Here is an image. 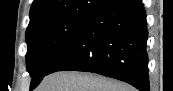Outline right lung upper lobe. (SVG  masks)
Listing matches in <instances>:
<instances>
[{"label": "right lung upper lobe", "mask_w": 173, "mask_h": 91, "mask_svg": "<svg viewBox=\"0 0 173 91\" xmlns=\"http://www.w3.org/2000/svg\"><path fill=\"white\" fill-rule=\"evenodd\" d=\"M112 0H34L30 10V23L70 16L93 15ZM28 26V27H29Z\"/></svg>", "instance_id": "obj_1"}]
</instances>
